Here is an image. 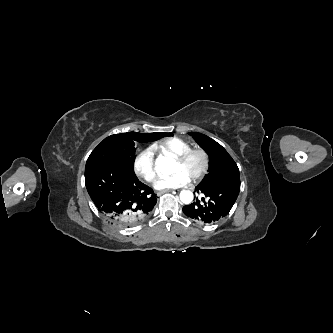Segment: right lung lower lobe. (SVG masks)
Here are the masks:
<instances>
[{
    "label": "right lung lower lobe",
    "instance_id": "1",
    "mask_svg": "<svg viewBox=\"0 0 333 333\" xmlns=\"http://www.w3.org/2000/svg\"><path fill=\"white\" fill-rule=\"evenodd\" d=\"M85 184L99 212L119 228H129L142 221L157 202L149 186L140 182L134 173L115 165H86Z\"/></svg>",
    "mask_w": 333,
    "mask_h": 333
}]
</instances>
